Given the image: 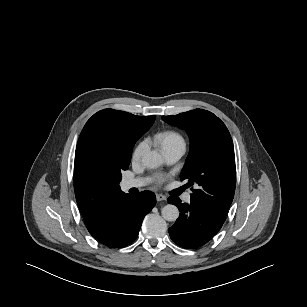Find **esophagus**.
Segmentation results:
<instances>
[{
	"instance_id": "obj_1",
	"label": "esophagus",
	"mask_w": 307,
	"mask_h": 307,
	"mask_svg": "<svg viewBox=\"0 0 307 307\" xmlns=\"http://www.w3.org/2000/svg\"><path fill=\"white\" fill-rule=\"evenodd\" d=\"M156 200L159 201H165L166 200V196L163 194H156Z\"/></svg>"
}]
</instances>
